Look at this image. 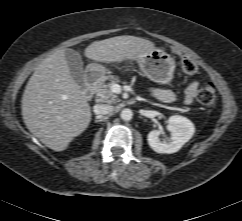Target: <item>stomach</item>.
<instances>
[{"label":"stomach","mask_w":242,"mask_h":221,"mask_svg":"<svg viewBox=\"0 0 242 221\" xmlns=\"http://www.w3.org/2000/svg\"><path fill=\"white\" fill-rule=\"evenodd\" d=\"M136 61L144 75L158 84H167L173 79L175 61L170 54L161 49L147 51ZM89 70L99 79L104 75V68L100 64H90Z\"/></svg>","instance_id":"1"}]
</instances>
